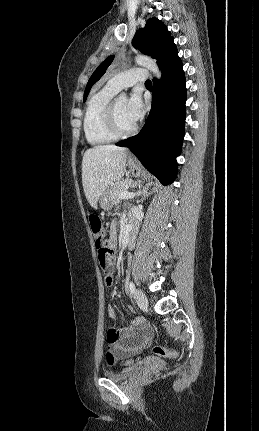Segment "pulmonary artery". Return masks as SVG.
I'll list each match as a JSON object with an SVG mask.
<instances>
[{"label": "pulmonary artery", "instance_id": "pulmonary-artery-1", "mask_svg": "<svg viewBox=\"0 0 259 431\" xmlns=\"http://www.w3.org/2000/svg\"><path fill=\"white\" fill-rule=\"evenodd\" d=\"M147 79V71L141 68H133L113 75L107 81V86L116 92L125 87L134 85L137 82H143Z\"/></svg>", "mask_w": 259, "mask_h": 431}]
</instances>
